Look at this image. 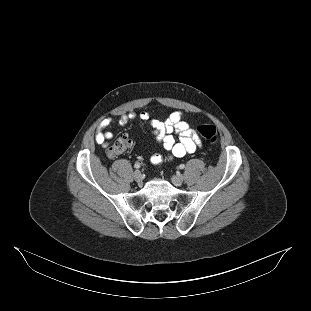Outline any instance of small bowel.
Listing matches in <instances>:
<instances>
[{
    "label": "small bowel",
    "instance_id": "small-bowel-1",
    "mask_svg": "<svg viewBox=\"0 0 311 311\" xmlns=\"http://www.w3.org/2000/svg\"><path fill=\"white\" fill-rule=\"evenodd\" d=\"M141 119L148 122L152 127L153 134L157 142L173 158H182L186 154L193 153L201 145V141L194 129L184 120L182 113L175 111L170 113L164 120L152 119L146 112L140 114L129 113L122 115L117 121L119 126H124L130 120ZM112 119H103L97 128L95 140L99 145L106 146L112 138V133L106 131L112 125ZM178 134L179 140L176 141L173 134ZM163 157L160 154H154L151 162L160 164Z\"/></svg>",
    "mask_w": 311,
    "mask_h": 311
}]
</instances>
